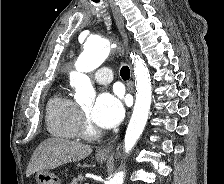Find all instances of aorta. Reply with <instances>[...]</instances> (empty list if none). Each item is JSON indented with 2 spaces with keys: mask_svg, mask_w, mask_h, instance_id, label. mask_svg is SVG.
Here are the masks:
<instances>
[{
  "mask_svg": "<svg viewBox=\"0 0 224 184\" xmlns=\"http://www.w3.org/2000/svg\"><path fill=\"white\" fill-rule=\"evenodd\" d=\"M114 44L107 39L90 37L84 43V51L75 64L76 72L70 73V85L75 88V99L80 104H90L95 97L90 78L86 73L97 69L108 57ZM132 59L136 99L125 139V152L129 153L142 134L149 115L152 99V86L149 69L139 55H130ZM125 173H116L110 184H123Z\"/></svg>",
  "mask_w": 224,
  "mask_h": 184,
  "instance_id": "1",
  "label": "aorta"
}]
</instances>
